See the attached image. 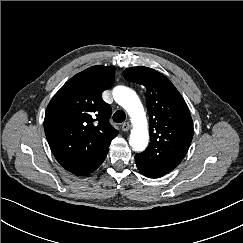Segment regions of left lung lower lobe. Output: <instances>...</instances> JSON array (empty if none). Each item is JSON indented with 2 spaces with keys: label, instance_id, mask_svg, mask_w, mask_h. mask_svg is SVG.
<instances>
[{
  "label": "left lung lower lobe",
  "instance_id": "obj_1",
  "mask_svg": "<svg viewBox=\"0 0 243 243\" xmlns=\"http://www.w3.org/2000/svg\"><path fill=\"white\" fill-rule=\"evenodd\" d=\"M140 172L144 176L149 177V178H159V177H161V175H158V174H155V173L145 172V171H142V170H140Z\"/></svg>",
  "mask_w": 243,
  "mask_h": 243
}]
</instances>
